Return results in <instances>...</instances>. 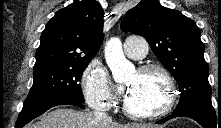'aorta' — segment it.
Here are the masks:
<instances>
[{
	"label": "aorta",
	"mask_w": 221,
	"mask_h": 128,
	"mask_svg": "<svg viewBox=\"0 0 221 128\" xmlns=\"http://www.w3.org/2000/svg\"><path fill=\"white\" fill-rule=\"evenodd\" d=\"M104 55L115 81H123L127 74L134 71V65L124 56L122 42L119 38L113 37L107 41Z\"/></svg>",
	"instance_id": "1"
}]
</instances>
